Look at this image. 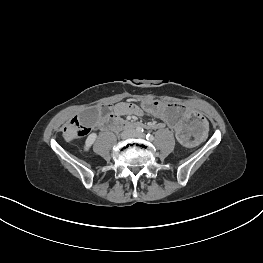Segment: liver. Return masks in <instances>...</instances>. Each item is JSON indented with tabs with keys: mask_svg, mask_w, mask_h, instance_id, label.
<instances>
[{
	"mask_svg": "<svg viewBox=\"0 0 263 263\" xmlns=\"http://www.w3.org/2000/svg\"><path fill=\"white\" fill-rule=\"evenodd\" d=\"M78 128H76L75 126H69L67 131L63 133V137L65 139L66 142H70L73 139L76 138V132H77Z\"/></svg>",
	"mask_w": 263,
	"mask_h": 263,
	"instance_id": "6515ba94",
	"label": "liver"
}]
</instances>
